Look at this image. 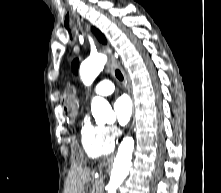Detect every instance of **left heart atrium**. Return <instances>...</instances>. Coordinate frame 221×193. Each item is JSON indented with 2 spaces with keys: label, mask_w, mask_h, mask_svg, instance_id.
Masks as SVG:
<instances>
[{
  "label": "left heart atrium",
  "mask_w": 221,
  "mask_h": 193,
  "mask_svg": "<svg viewBox=\"0 0 221 193\" xmlns=\"http://www.w3.org/2000/svg\"><path fill=\"white\" fill-rule=\"evenodd\" d=\"M116 120L120 125H126L132 115L133 107L131 100L126 95L117 97L113 103Z\"/></svg>",
  "instance_id": "obj_1"
}]
</instances>
